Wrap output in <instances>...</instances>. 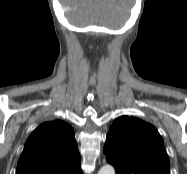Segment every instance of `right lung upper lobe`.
<instances>
[{
  "label": "right lung upper lobe",
  "mask_w": 187,
  "mask_h": 174,
  "mask_svg": "<svg viewBox=\"0 0 187 174\" xmlns=\"http://www.w3.org/2000/svg\"><path fill=\"white\" fill-rule=\"evenodd\" d=\"M16 174H83L72 127L61 120L40 125L26 141Z\"/></svg>",
  "instance_id": "1"
}]
</instances>
